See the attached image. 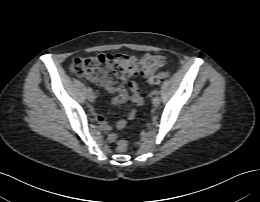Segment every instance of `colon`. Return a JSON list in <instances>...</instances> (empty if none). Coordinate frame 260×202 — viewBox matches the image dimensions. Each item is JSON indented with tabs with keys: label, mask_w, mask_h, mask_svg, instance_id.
Wrapping results in <instances>:
<instances>
[{
	"label": "colon",
	"mask_w": 260,
	"mask_h": 202,
	"mask_svg": "<svg viewBox=\"0 0 260 202\" xmlns=\"http://www.w3.org/2000/svg\"><path fill=\"white\" fill-rule=\"evenodd\" d=\"M164 64V57L159 54L147 53L136 57L130 53H103L91 57L76 58L71 62L73 74L88 78L94 83L107 85L118 77L128 85L131 79L143 75L151 84H159L167 77V72H158ZM128 145L125 141L117 142L118 152H125Z\"/></svg>",
	"instance_id": "colon-1"
}]
</instances>
